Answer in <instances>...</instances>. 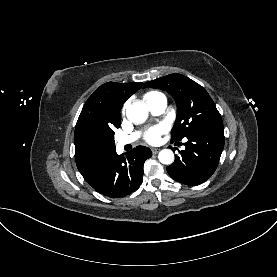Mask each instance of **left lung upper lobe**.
Returning a JSON list of instances; mask_svg holds the SVG:
<instances>
[{"label":"left lung upper lobe","instance_id":"1","mask_svg":"<svg viewBox=\"0 0 277 277\" xmlns=\"http://www.w3.org/2000/svg\"><path fill=\"white\" fill-rule=\"evenodd\" d=\"M144 87L165 90L175 99L177 118L171 131L172 141L187 138L203 128L223 124L207 91L184 75L170 74L148 81Z\"/></svg>","mask_w":277,"mask_h":277}]
</instances>
